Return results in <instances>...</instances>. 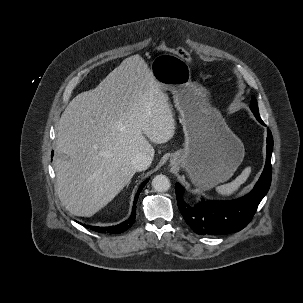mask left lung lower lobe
<instances>
[{"label":"left lung lower lobe","instance_id":"obj_1","mask_svg":"<svg viewBox=\"0 0 303 303\" xmlns=\"http://www.w3.org/2000/svg\"><path fill=\"white\" fill-rule=\"evenodd\" d=\"M263 125L260 116H255ZM267 157L264 170L253 190L242 198L233 201H205L195 206L183 200V187L175 186L177 204L182 216L190 228L199 235H223L242 230L254 216L257 207L269 190L272 166L271 154L273 138L267 129Z\"/></svg>","mask_w":303,"mask_h":303}]
</instances>
